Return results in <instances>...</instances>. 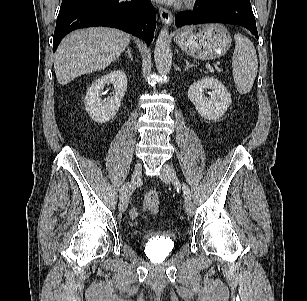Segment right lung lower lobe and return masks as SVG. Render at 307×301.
<instances>
[{
	"label": "right lung lower lobe",
	"mask_w": 307,
	"mask_h": 301,
	"mask_svg": "<svg viewBox=\"0 0 307 301\" xmlns=\"http://www.w3.org/2000/svg\"><path fill=\"white\" fill-rule=\"evenodd\" d=\"M91 26L118 28L149 45L156 26L155 10L147 0H62L53 51L69 32Z\"/></svg>",
	"instance_id": "right-lung-lower-lobe-1"
}]
</instances>
